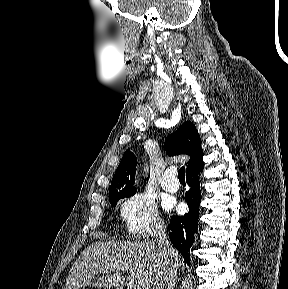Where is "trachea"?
<instances>
[{"instance_id": "trachea-1", "label": "trachea", "mask_w": 288, "mask_h": 289, "mask_svg": "<svg viewBox=\"0 0 288 289\" xmlns=\"http://www.w3.org/2000/svg\"><path fill=\"white\" fill-rule=\"evenodd\" d=\"M178 178L180 181H185V168L181 167L178 171Z\"/></svg>"}]
</instances>
